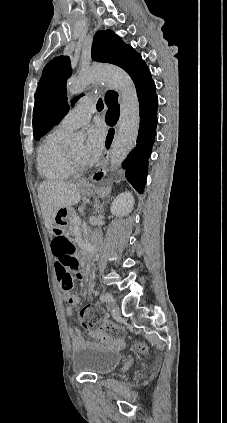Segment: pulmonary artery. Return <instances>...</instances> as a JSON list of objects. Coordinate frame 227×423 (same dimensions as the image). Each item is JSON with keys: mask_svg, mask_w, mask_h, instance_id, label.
I'll return each mask as SVG.
<instances>
[{"mask_svg": "<svg viewBox=\"0 0 227 423\" xmlns=\"http://www.w3.org/2000/svg\"><path fill=\"white\" fill-rule=\"evenodd\" d=\"M93 104L89 100H83L61 120L58 127L71 132L86 125L91 119Z\"/></svg>", "mask_w": 227, "mask_h": 423, "instance_id": "1", "label": "pulmonary artery"}]
</instances>
